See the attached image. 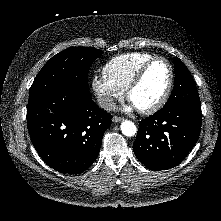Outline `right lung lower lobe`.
<instances>
[{"instance_id": "right-lung-lower-lobe-1", "label": "right lung lower lobe", "mask_w": 221, "mask_h": 221, "mask_svg": "<svg viewBox=\"0 0 221 221\" xmlns=\"http://www.w3.org/2000/svg\"><path fill=\"white\" fill-rule=\"evenodd\" d=\"M111 115L91 99L89 89L66 85L27 108L31 141L51 168L67 174L84 172L97 158Z\"/></svg>"}]
</instances>
